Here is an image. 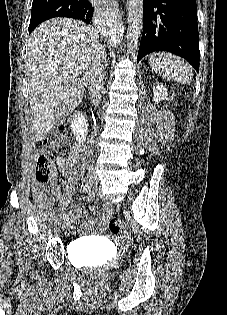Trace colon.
<instances>
[{
	"label": "colon",
	"mask_w": 227,
	"mask_h": 315,
	"mask_svg": "<svg viewBox=\"0 0 227 315\" xmlns=\"http://www.w3.org/2000/svg\"><path fill=\"white\" fill-rule=\"evenodd\" d=\"M70 133L65 127L54 128L44 140L48 149L60 154H66L70 148ZM53 174V163L49 152L44 148L35 151V166L33 171V182L38 185H45ZM109 229L113 234L129 236L130 230L120 219H111Z\"/></svg>",
	"instance_id": "5ec220e1"
}]
</instances>
